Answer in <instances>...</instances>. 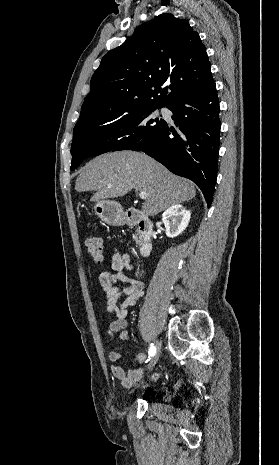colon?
<instances>
[{
	"instance_id": "colon-1",
	"label": "colon",
	"mask_w": 279,
	"mask_h": 465,
	"mask_svg": "<svg viewBox=\"0 0 279 465\" xmlns=\"http://www.w3.org/2000/svg\"><path fill=\"white\" fill-rule=\"evenodd\" d=\"M85 245L88 254L94 259V261L101 263L104 258L101 238L97 235H89L85 240Z\"/></svg>"
}]
</instances>
